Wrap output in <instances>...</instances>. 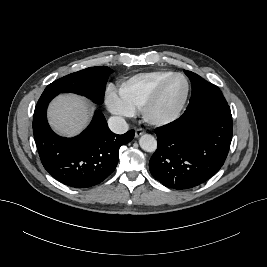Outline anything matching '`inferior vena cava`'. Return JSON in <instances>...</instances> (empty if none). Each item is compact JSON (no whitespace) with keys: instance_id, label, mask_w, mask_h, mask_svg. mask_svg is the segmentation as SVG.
<instances>
[{"instance_id":"obj_1","label":"inferior vena cava","mask_w":267,"mask_h":267,"mask_svg":"<svg viewBox=\"0 0 267 267\" xmlns=\"http://www.w3.org/2000/svg\"><path fill=\"white\" fill-rule=\"evenodd\" d=\"M110 130L116 134H124L128 131V124L121 116H112L108 120Z\"/></svg>"}]
</instances>
